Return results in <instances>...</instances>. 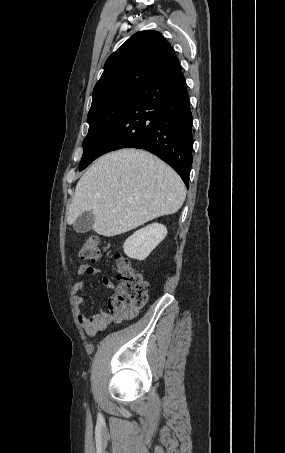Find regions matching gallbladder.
Wrapping results in <instances>:
<instances>
[{
    "label": "gallbladder",
    "instance_id": "obj_1",
    "mask_svg": "<svg viewBox=\"0 0 285 453\" xmlns=\"http://www.w3.org/2000/svg\"><path fill=\"white\" fill-rule=\"evenodd\" d=\"M94 214L91 210L82 213L74 222L73 229L77 233H86L90 231L94 224Z\"/></svg>",
    "mask_w": 285,
    "mask_h": 453
}]
</instances>
